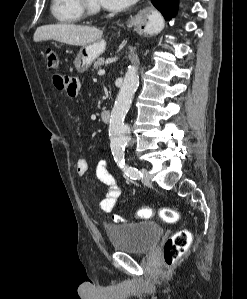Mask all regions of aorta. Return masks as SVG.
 I'll return each instance as SVG.
<instances>
[{"label": "aorta", "instance_id": "obj_1", "mask_svg": "<svg viewBox=\"0 0 247 299\" xmlns=\"http://www.w3.org/2000/svg\"><path fill=\"white\" fill-rule=\"evenodd\" d=\"M139 85L137 67L128 68L110 115V148L114 156H122L126 144L130 141V128L125 124V116L130 109L132 99Z\"/></svg>", "mask_w": 247, "mask_h": 299}]
</instances>
